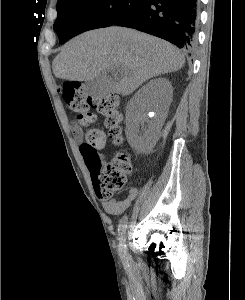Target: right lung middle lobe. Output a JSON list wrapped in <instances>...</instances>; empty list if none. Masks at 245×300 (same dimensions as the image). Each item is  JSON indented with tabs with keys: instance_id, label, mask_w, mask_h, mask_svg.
I'll list each match as a JSON object with an SVG mask.
<instances>
[{
	"instance_id": "1",
	"label": "right lung middle lobe",
	"mask_w": 245,
	"mask_h": 300,
	"mask_svg": "<svg viewBox=\"0 0 245 300\" xmlns=\"http://www.w3.org/2000/svg\"><path fill=\"white\" fill-rule=\"evenodd\" d=\"M147 1L58 0L54 30L63 43L84 31L111 26Z\"/></svg>"
}]
</instances>
